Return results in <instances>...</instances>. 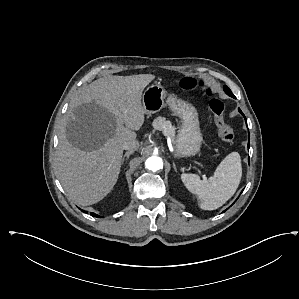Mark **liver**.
I'll return each instance as SVG.
<instances>
[{
  "instance_id": "liver-1",
  "label": "liver",
  "mask_w": 299,
  "mask_h": 299,
  "mask_svg": "<svg viewBox=\"0 0 299 299\" xmlns=\"http://www.w3.org/2000/svg\"><path fill=\"white\" fill-rule=\"evenodd\" d=\"M154 79L152 74L105 76L86 86L71 104L56 166L65 192L76 203L95 204L116 184L122 144L135 139L134 131L144 123L142 92Z\"/></svg>"
}]
</instances>
